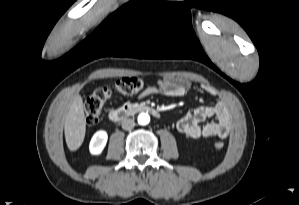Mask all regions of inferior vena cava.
<instances>
[{
    "label": "inferior vena cava",
    "mask_w": 299,
    "mask_h": 205,
    "mask_svg": "<svg viewBox=\"0 0 299 205\" xmlns=\"http://www.w3.org/2000/svg\"><path fill=\"white\" fill-rule=\"evenodd\" d=\"M134 126H135V122H134V120L133 119H124L123 121H122V128L124 129V130H131V129H133L134 128Z\"/></svg>",
    "instance_id": "602c4592"
}]
</instances>
